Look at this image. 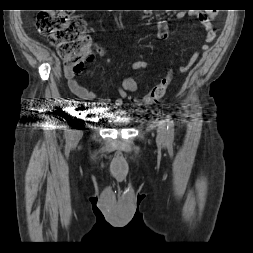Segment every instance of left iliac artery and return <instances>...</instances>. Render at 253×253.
<instances>
[{
  "label": "left iliac artery",
  "mask_w": 253,
  "mask_h": 253,
  "mask_svg": "<svg viewBox=\"0 0 253 253\" xmlns=\"http://www.w3.org/2000/svg\"><path fill=\"white\" fill-rule=\"evenodd\" d=\"M166 123H167L168 141L172 142L173 139H174V122H173V119L170 116H167Z\"/></svg>",
  "instance_id": "1"
}]
</instances>
